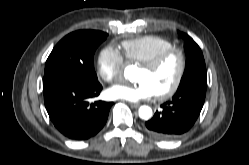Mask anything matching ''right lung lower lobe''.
I'll list each match as a JSON object with an SVG mask.
<instances>
[{"label": "right lung lower lobe", "instance_id": "obj_1", "mask_svg": "<svg viewBox=\"0 0 249 165\" xmlns=\"http://www.w3.org/2000/svg\"><path fill=\"white\" fill-rule=\"evenodd\" d=\"M102 90L98 82L84 84L57 75L43 78L45 107L54 126L66 137L86 140L97 134L106 124L112 102H88Z\"/></svg>", "mask_w": 249, "mask_h": 165}]
</instances>
